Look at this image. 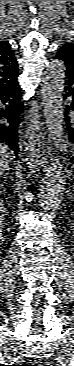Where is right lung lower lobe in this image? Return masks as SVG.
Returning <instances> with one entry per match:
<instances>
[{"instance_id":"right-lung-lower-lobe-1","label":"right lung lower lobe","mask_w":74,"mask_h":366,"mask_svg":"<svg viewBox=\"0 0 74 366\" xmlns=\"http://www.w3.org/2000/svg\"><path fill=\"white\" fill-rule=\"evenodd\" d=\"M24 105L18 82L0 87V143L7 144L16 157L19 154V125Z\"/></svg>"}]
</instances>
